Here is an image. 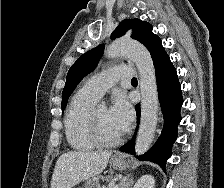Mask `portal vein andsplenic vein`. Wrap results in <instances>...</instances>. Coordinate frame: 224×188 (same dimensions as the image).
Masks as SVG:
<instances>
[{"label":"portal vein and splenic vein","instance_id":"18ae733b","mask_svg":"<svg viewBox=\"0 0 224 188\" xmlns=\"http://www.w3.org/2000/svg\"><path fill=\"white\" fill-rule=\"evenodd\" d=\"M103 188H118V185H109L108 187L103 186Z\"/></svg>","mask_w":224,"mask_h":188}]
</instances>
